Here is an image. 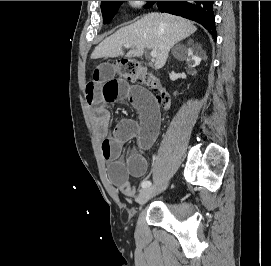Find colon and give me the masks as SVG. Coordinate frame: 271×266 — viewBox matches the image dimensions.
Masks as SVG:
<instances>
[{
    "instance_id": "obj_1",
    "label": "colon",
    "mask_w": 271,
    "mask_h": 266,
    "mask_svg": "<svg viewBox=\"0 0 271 266\" xmlns=\"http://www.w3.org/2000/svg\"><path fill=\"white\" fill-rule=\"evenodd\" d=\"M114 70L122 79L129 81L141 80L145 82L156 93L158 104L163 108L169 106L170 99L168 94L164 91L156 78L147 74L145 65L140 61L120 58L114 63Z\"/></svg>"
}]
</instances>
